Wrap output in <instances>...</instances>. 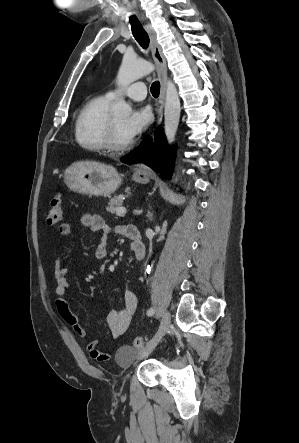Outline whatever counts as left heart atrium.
Segmentation results:
<instances>
[{"mask_svg":"<svg viewBox=\"0 0 299 443\" xmlns=\"http://www.w3.org/2000/svg\"><path fill=\"white\" fill-rule=\"evenodd\" d=\"M151 122V112L147 107L134 109L123 124L124 134L132 140L140 135Z\"/></svg>","mask_w":299,"mask_h":443,"instance_id":"39dd6f15","label":"left heart atrium"}]
</instances>
